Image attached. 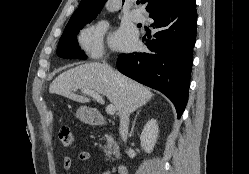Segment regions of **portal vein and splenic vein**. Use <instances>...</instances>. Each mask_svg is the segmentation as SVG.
I'll return each instance as SVG.
<instances>
[{"instance_id":"1","label":"portal vein and splenic vein","mask_w":249,"mask_h":174,"mask_svg":"<svg viewBox=\"0 0 249 174\" xmlns=\"http://www.w3.org/2000/svg\"><path fill=\"white\" fill-rule=\"evenodd\" d=\"M84 94L91 96L92 98H94L97 102H99L100 104H104V100L103 98L100 96L99 93L92 91V90H83L82 91ZM106 112L109 115H114L116 112V109L114 107V105L110 104L106 107Z\"/></svg>"}]
</instances>
